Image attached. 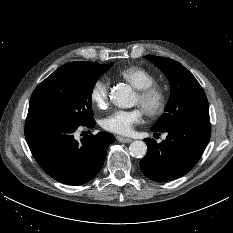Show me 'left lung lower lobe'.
<instances>
[{
  "label": "left lung lower lobe",
  "instance_id": "left-lung-lower-lobe-1",
  "mask_svg": "<svg viewBox=\"0 0 233 233\" xmlns=\"http://www.w3.org/2000/svg\"><path fill=\"white\" fill-rule=\"evenodd\" d=\"M153 132H166L162 143L146 138L148 152L140 161L143 174L156 182H165L188 173L204 152L211 134L210 120L190 119Z\"/></svg>",
  "mask_w": 233,
  "mask_h": 233
}]
</instances>
